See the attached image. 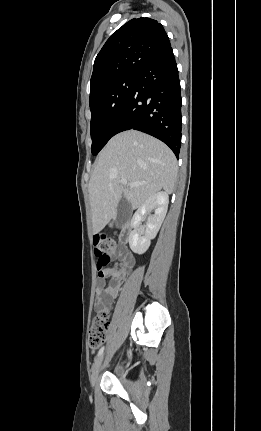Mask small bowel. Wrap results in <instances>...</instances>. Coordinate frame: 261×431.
I'll return each mask as SVG.
<instances>
[{
  "mask_svg": "<svg viewBox=\"0 0 261 431\" xmlns=\"http://www.w3.org/2000/svg\"><path fill=\"white\" fill-rule=\"evenodd\" d=\"M112 255L120 259L122 268H105L103 274L98 275L94 305L98 313L107 312L109 310L127 270L134 265V258L126 248L115 247ZM107 278H110L109 284L106 282Z\"/></svg>",
  "mask_w": 261,
  "mask_h": 431,
  "instance_id": "obj_1",
  "label": "small bowel"
}]
</instances>
